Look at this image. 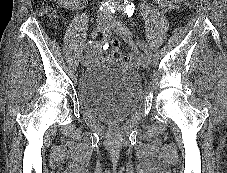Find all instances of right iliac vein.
Returning a JSON list of instances; mask_svg holds the SVG:
<instances>
[{
    "instance_id": "1",
    "label": "right iliac vein",
    "mask_w": 227,
    "mask_h": 173,
    "mask_svg": "<svg viewBox=\"0 0 227 173\" xmlns=\"http://www.w3.org/2000/svg\"><path fill=\"white\" fill-rule=\"evenodd\" d=\"M109 26V20L106 15L99 14L97 17V24H96V32L102 33L104 30ZM90 58L88 56H84L81 59L83 66H87L89 64Z\"/></svg>"
}]
</instances>
